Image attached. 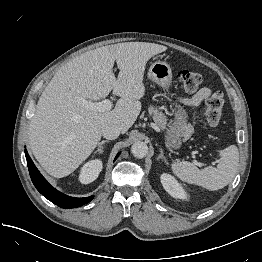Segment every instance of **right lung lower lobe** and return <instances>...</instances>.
<instances>
[{"label": "right lung lower lobe", "instance_id": "obj_1", "mask_svg": "<svg viewBox=\"0 0 262 262\" xmlns=\"http://www.w3.org/2000/svg\"><path fill=\"white\" fill-rule=\"evenodd\" d=\"M119 154L120 153L117 154L115 159L119 156ZM25 155L33 184L43 196H45L54 204L62 208H74L89 203L94 198V196H90L87 198H74L57 191L40 174V172L32 162L31 158L29 157L27 150H25Z\"/></svg>", "mask_w": 262, "mask_h": 262}]
</instances>
